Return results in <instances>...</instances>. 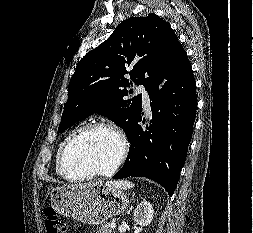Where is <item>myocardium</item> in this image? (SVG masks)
Listing matches in <instances>:
<instances>
[{
	"label": "myocardium",
	"instance_id": "obj_1",
	"mask_svg": "<svg viewBox=\"0 0 253 233\" xmlns=\"http://www.w3.org/2000/svg\"><path fill=\"white\" fill-rule=\"evenodd\" d=\"M93 130H107V131L113 133L117 137L119 144H120V150H119V155H118L116 161L107 170H93V171H90V172H88L84 175H80V176H71V175L67 174L65 161H66V156H67V153H68L70 147L82 135H84L87 132L93 131ZM128 152H129L128 139H127L125 133L118 126L108 123V122L89 123V124L82 126L77 131H75L71 135V137L67 140V142L65 143V145L61 151L60 159H59L60 174L66 180L72 181V182L87 180V179L93 178L95 176H111L125 162V160L128 156Z\"/></svg>",
	"mask_w": 253,
	"mask_h": 233
}]
</instances>
